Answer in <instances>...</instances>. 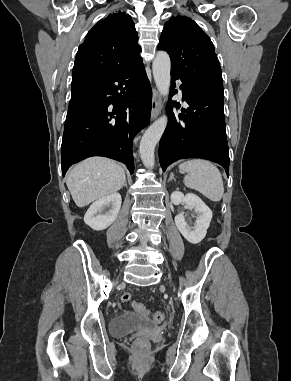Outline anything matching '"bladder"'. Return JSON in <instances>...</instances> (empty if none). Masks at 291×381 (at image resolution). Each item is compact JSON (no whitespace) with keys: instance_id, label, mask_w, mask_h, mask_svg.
<instances>
[{"instance_id":"bladder-1","label":"bladder","mask_w":291,"mask_h":381,"mask_svg":"<svg viewBox=\"0 0 291 381\" xmlns=\"http://www.w3.org/2000/svg\"><path fill=\"white\" fill-rule=\"evenodd\" d=\"M153 323L145 316L134 313H120L114 315L109 324V331L113 336L122 337L140 329L151 328Z\"/></svg>"}]
</instances>
